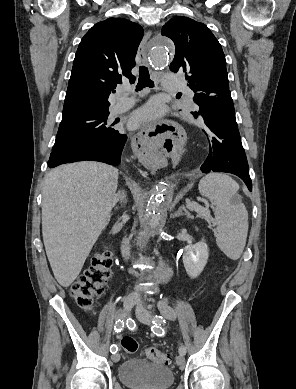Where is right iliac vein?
<instances>
[{"label": "right iliac vein", "instance_id": "63e3f726", "mask_svg": "<svg viewBox=\"0 0 296 389\" xmlns=\"http://www.w3.org/2000/svg\"><path fill=\"white\" fill-rule=\"evenodd\" d=\"M137 298L134 294H128L123 298V316H127L134 304L136 303ZM112 360L118 362L120 360V354L115 353L112 355Z\"/></svg>", "mask_w": 296, "mask_h": 389}]
</instances>
